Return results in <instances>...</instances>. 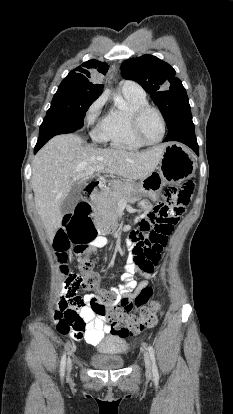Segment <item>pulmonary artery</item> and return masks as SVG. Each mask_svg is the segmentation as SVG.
I'll return each mask as SVG.
<instances>
[{
    "label": "pulmonary artery",
    "instance_id": "obj_1",
    "mask_svg": "<svg viewBox=\"0 0 233 414\" xmlns=\"http://www.w3.org/2000/svg\"><path fill=\"white\" fill-rule=\"evenodd\" d=\"M120 88L123 91H129V92H134V93H139V94H144V90L142 89V87L131 80H124L120 83Z\"/></svg>",
    "mask_w": 233,
    "mask_h": 414
}]
</instances>
